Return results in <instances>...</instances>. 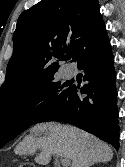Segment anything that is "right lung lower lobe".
Instances as JSON below:
<instances>
[{
  "label": "right lung lower lobe",
  "instance_id": "obj_1",
  "mask_svg": "<svg viewBox=\"0 0 125 167\" xmlns=\"http://www.w3.org/2000/svg\"><path fill=\"white\" fill-rule=\"evenodd\" d=\"M77 66L84 71L80 87L72 85L66 98L48 107L34 122H68L119 149L116 73L106 28L80 53Z\"/></svg>",
  "mask_w": 125,
  "mask_h": 167
}]
</instances>
